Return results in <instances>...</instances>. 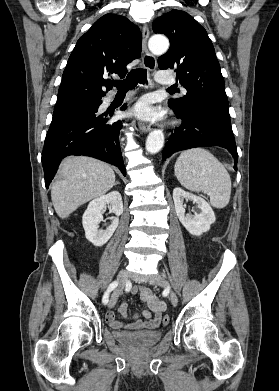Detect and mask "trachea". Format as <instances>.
<instances>
[{"instance_id":"3493384b","label":"trachea","mask_w":279,"mask_h":391,"mask_svg":"<svg viewBox=\"0 0 279 391\" xmlns=\"http://www.w3.org/2000/svg\"><path fill=\"white\" fill-rule=\"evenodd\" d=\"M147 81V70L142 68H137L132 70L126 77V79L121 81H114L112 85L115 86L119 92H125L133 89L138 83L144 84ZM169 89H174L170 87Z\"/></svg>"}]
</instances>
